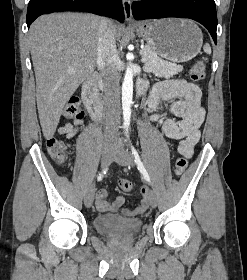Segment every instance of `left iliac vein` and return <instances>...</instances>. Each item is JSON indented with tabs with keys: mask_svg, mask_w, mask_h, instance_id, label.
<instances>
[{
	"mask_svg": "<svg viewBox=\"0 0 247 280\" xmlns=\"http://www.w3.org/2000/svg\"><path fill=\"white\" fill-rule=\"evenodd\" d=\"M114 160L122 166H133L134 160L132 154L125 148H120L114 154ZM148 201L151 207L157 206V196L153 190L149 191Z\"/></svg>",
	"mask_w": 247,
	"mask_h": 280,
	"instance_id": "4c4485c4",
	"label": "left iliac vein"
}]
</instances>
